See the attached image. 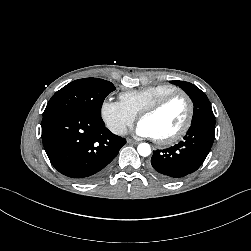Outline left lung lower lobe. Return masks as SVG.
<instances>
[{
  "label": "left lung lower lobe",
  "mask_w": 251,
  "mask_h": 251,
  "mask_svg": "<svg viewBox=\"0 0 251 251\" xmlns=\"http://www.w3.org/2000/svg\"><path fill=\"white\" fill-rule=\"evenodd\" d=\"M215 137V121L191 124L183 140L173 147L153 151L150 171L157 177L173 181L196 171L206 159Z\"/></svg>",
  "instance_id": "left-lung-lower-lobe-1"
}]
</instances>
